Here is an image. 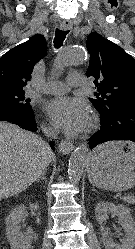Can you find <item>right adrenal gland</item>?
I'll return each mask as SVG.
<instances>
[{
    "mask_svg": "<svg viewBox=\"0 0 135 249\" xmlns=\"http://www.w3.org/2000/svg\"><path fill=\"white\" fill-rule=\"evenodd\" d=\"M45 175H46V172H43L42 176H41L40 178H38V181H39V180H44L45 183H47V178H46Z\"/></svg>",
    "mask_w": 135,
    "mask_h": 249,
    "instance_id": "1",
    "label": "right adrenal gland"
}]
</instances>
